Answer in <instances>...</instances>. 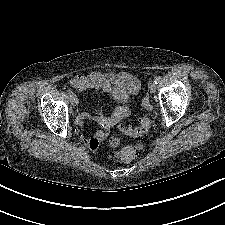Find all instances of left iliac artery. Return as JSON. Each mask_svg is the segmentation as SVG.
<instances>
[{
	"mask_svg": "<svg viewBox=\"0 0 225 225\" xmlns=\"http://www.w3.org/2000/svg\"><path fill=\"white\" fill-rule=\"evenodd\" d=\"M160 81H161V77L160 76H156L155 79H154V83L158 84V83H160Z\"/></svg>",
	"mask_w": 225,
	"mask_h": 225,
	"instance_id": "obj_1",
	"label": "left iliac artery"
}]
</instances>
